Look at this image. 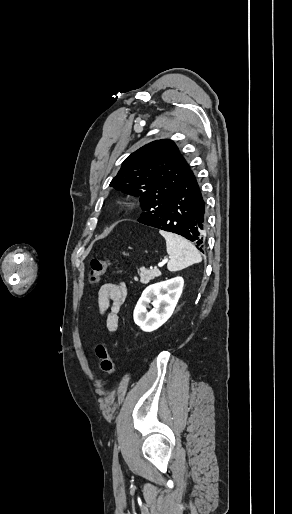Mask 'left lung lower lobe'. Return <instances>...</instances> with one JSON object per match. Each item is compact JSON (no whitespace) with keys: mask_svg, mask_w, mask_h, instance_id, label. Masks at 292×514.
I'll return each instance as SVG.
<instances>
[{"mask_svg":"<svg viewBox=\"0 0 292 514\" xmlns=\"http://www.w3.org/2000/svg\"><path fill=\"white\" fill-rule=\"evenodd\" d=\"M145 225L179 234L203 252L207 229L205 201L192 170L164 204L161 213Z\"/></svg>","mask_w":292,"mask_h":514,"instance_id":"left-lung-lower-lobe-1","label":"left lung lower lobe"}]
</instances>
